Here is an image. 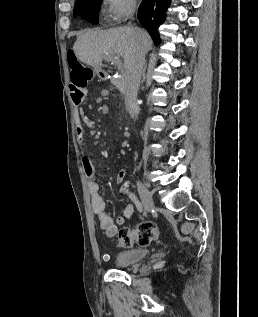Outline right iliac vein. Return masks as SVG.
Instances as JSON below:
<instances>
[{
    "instance_id": "63e3f726",
    "label": "right iliac vein",
    "mask_w": 258,
    "mask_h": 317,
    "mask_svg": "<svg viewBox=\"0 0 258 317\" xmlns=\"http://www.w3.org/2000/svg\"><path fill=\"white\" fill-rule=\"evenodd\" d=\"M136 187L139 192V196L142 199L141 203L143 208L147 211V213H150V211L154 208V201L151 192H149L148 188L141 182H137Z\"/></svg>"
}]
</instances>
